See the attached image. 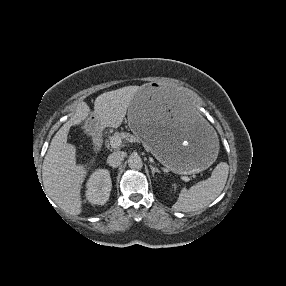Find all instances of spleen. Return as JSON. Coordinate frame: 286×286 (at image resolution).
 Here are the masks:
<instances>
[{
	"label": "spleen",
	"instance_id": "spleen-1",
	"mask_svg": "<svg viewBox=\"0 0 286 286\" xmlns=\"http://www.w3.org/2000/svg\"><path fill=\"white\" fill-rule=\"evenodd\" d=\"M228 173L229 165L225 162L219 163L208 179L189 189L184 187L172 208L175 211L193 212L209 205L224 189Z\"/></svg>",
	"mask_w": 286,
	"mask_h": 286
}]
</instances>
